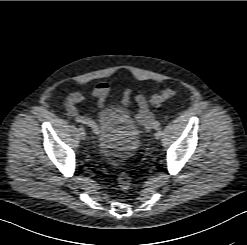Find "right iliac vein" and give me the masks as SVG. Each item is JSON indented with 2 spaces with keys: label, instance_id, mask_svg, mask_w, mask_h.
<instances>
[{
  "label": "right iliac vein",
  "instance_id": "63e3f726",
  "mask_svg": "<svg viewBox=\"0 0 247 245\" xmlns=\"http://www.w3.org/2000/svg\"><path fill=\"white\" fill-rule=\"evenodd\" d=\"M78 132L82 140H85L87 138L86 132L83 127H79Z\"/></svg>",
  "mask_w": 247,
  "mask_h": 245
}]
</instances>
